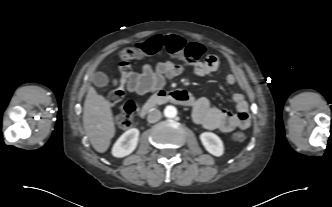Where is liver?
<instances>
[{"mask_svg":"<svg viewBox=\"0 0 332 207\" xmlns=\"http://www.w3.org/2000/svg\"><path fill=\"white\" fill-rule=\"evenodd\" d=\"M83 126L93 148L104 153L115 135L111 104L104 96L89 87L83 111Z\"/></svg>","mask_w":332,"mask_h":207,"instance_id":"6515ba94","label":"liver"}]
</instances>
